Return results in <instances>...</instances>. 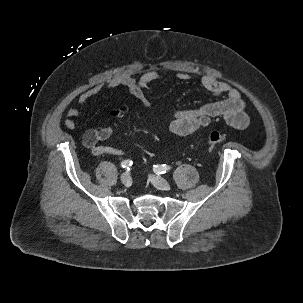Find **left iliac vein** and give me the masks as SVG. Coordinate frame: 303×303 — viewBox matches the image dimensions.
<instances>
[{"mask_svg":"<svg viewBox=\"0 0 303 303\" xmlns=\"http://www.w3.org/2000/svg\"><path fill=\"white\" fill-rule=\"evenodd\" d=\"M149 180L157 189L166 190V191L171 189L170 183L162 177L151 175L149 177Z\"/></svg>","mask_w":303,"mask_h":303,"instance_id":"obj_1","label":"left iliac vein"}]
</instances>
